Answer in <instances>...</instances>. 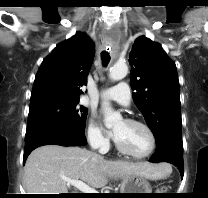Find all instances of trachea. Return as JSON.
I'll list each match as a JSON object with an SVG mask.
<instances>
[{"label": "trachea", "mask_w": 208, "mask_h": 198, "mask_svg": "<svg viewBox=\"0 0 208 198\" xmlns=\"http://www.w3.org/2000/svg\"><path fill=\"white\" fill-rule=\"evenodd\" d=\"M101 59H102L103 66H107L111 58L108 52L103 51L101 52Z\"/></svg>", "instance_id": "trachea-1"}]
</instances>
